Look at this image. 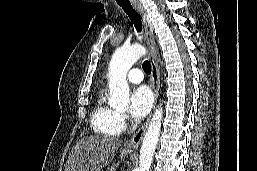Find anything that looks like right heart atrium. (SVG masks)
<instances>
[{"mask_svg":"<svg viewBox=\"0 0 257 171\" xmlns=\"http://www.w3.org/2000/svg\"><path fill=\"white\" fill-rule=\"evenodd\" d=\"M119 119H120V122H121L122 125L127 122V116L123 113L119 114Z\"/></svg>","mask_w":257,"mask_h":171,"instance_id":"1","label":"right heart atrium"}]
</instances>
